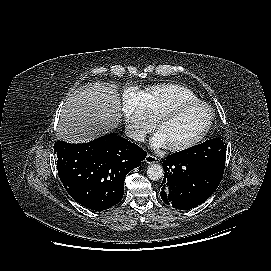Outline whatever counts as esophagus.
<instances>
[{"instance_id": "esophagus-1", "label": "esophagus", "mask_w": 271, "mask_h": 271, "mask_svg": "<svg viewBox=\"0 0 271 271\" xmlns=\"http://www.w3.org/2000/svg\"><path fill=\"white\" fill-rule=\"evenodd\" d=\"M145 162L148 164L159 163L160 159L153 155L147 154V156L145 157Z\"/></svg>"}]
</instances>
